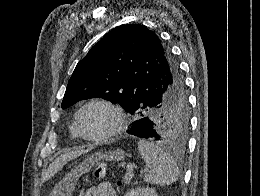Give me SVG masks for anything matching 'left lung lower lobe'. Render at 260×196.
Returning a JSON list of instances; mask_svg holds the SVG:
<instances>
[{"label":"left lung lower lobe","instance_id":"1","mask_svg":"<svg viewBox=\"0 0 260 196\" xmlns=\"http://www.w3.org/2000/svg\"><path fill=\"white\" fill-rule=\"evenodd\" d=\"M127 133L153 141H158L159 139V135L154 129L153 122L147 118L135 121Z\"/></svg>","mask_w":260,"mask_h":196}]
</instances>
